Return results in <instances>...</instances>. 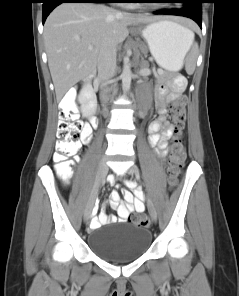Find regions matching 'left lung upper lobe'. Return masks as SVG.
I'll use <instances>...</instances> for the list:
<instances>
[{
	"label": "left lung upper lobe",
	"mask_w": 239,
	"mask_h": 296,
	"mask_svg": "<svg viewBox=\"0 0 239 296\" xmlns=\"http://www.w3.org/2000/svg\"><path fill=\"white\" fill-rule=\"evenodd\" d=\"M200 4H201V2H202V0H197Z\"/></svg>",
	"instance_id": "5c2ea615"
}]
</instances>
